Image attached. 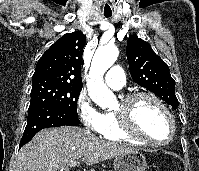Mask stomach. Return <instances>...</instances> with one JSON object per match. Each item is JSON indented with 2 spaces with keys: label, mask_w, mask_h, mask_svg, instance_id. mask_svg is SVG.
<instances>
[{
  "label": "stomach",
  "mask_w": 199,
  "mask_h": 171,
  "mask_svg": "<svg viewBox=\"0 0 199 171\" xmlns=\"http://www.w3.org/2000/svg\"><path fill=\"white\" fill-rule=\"evenodd\" d=\"M146 167V158L140 151L119 155L114 160L115 171H145Z\"/></svg>",
  "instance_id": "stomach-1"
}]
</instances>
